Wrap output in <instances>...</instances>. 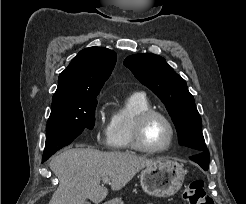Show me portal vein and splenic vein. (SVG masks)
I'll use <instances>...</instances> for the list:
<instances>
[{
    "instance_id": "1",
    "label": "portal vein and splenic vein",
    "mask_w": 246,
    "mask_h": 204,
    "mask_svg": "<svg viewBox=\"0 0 246 204\" xmlns=\"http://www.w3.org/2000/svg\"><path fill=\"white\" fill-rule=\"evenodd\" d=\"M103 183H105V184H110L111 182H110V179L105 178V179H103Z\"/></svg>"
}]
</instances>
